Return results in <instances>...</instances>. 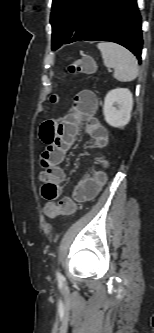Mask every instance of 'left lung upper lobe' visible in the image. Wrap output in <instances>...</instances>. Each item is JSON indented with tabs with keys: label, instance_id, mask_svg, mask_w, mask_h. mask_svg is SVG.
<instances>
[{
	"label": "left lung upper lobe",
	"instance_id": "1",
	"mask_svg": "<svg viewBox=\"0 0 154 333\" xmlns=\"http://www.w3.org/2000/svg\"><path fill=\"white\" fill-rule=\"evenodd\" d=\"M97 0H53L51 19L52 49L66 43Z\"/></svg>",
	"mask_w": 154,
	"mask_h": 333
}]
</instances>
